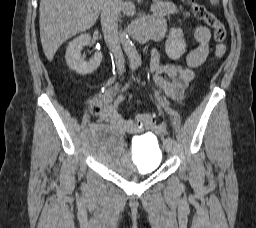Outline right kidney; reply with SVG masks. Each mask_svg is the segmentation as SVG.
I'll return each instance as SVG.
<instances>
[{"mask_svg":"<svg viewBox=\"0 0 256 228\" xmlns=\"http://www.w3.org/2000/svg\"><path fill=\"white\" fill-rule=\"evenodd\" d=\"M91 37L89 34H82L73 39L66 49V62L70 69L80 75H87L93 73L102 61V53L97 52L94 58L89 62L85 61L81 56V50L84 46L89 45Z\"/></svg>","mask_w":256,"mask_h":228,"instance_id":"1","label":"right kidney"}]
</instances>
